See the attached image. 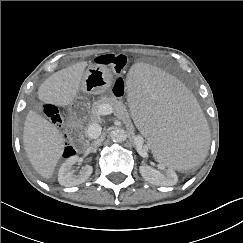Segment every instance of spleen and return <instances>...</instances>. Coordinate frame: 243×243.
I'll return each mask as SVG.
<instances>
[{
	"label": "spleen",
	"instance_id": "1",
	"mask_svg": "<svg viewBox=\"0 0 243 243\" xmlns=\"http://www.w3.org/2000/svg\"><path fill=\"white\" fill-rule=\"evenodd\" d=\"M125 86L135 123L155 157L174 172L191 171L210 140L197 99L174 76L150 64L132 68Z\"/></svg>",
	"mask_w": 243,
	"mask_h": 243
}]
</instances>
